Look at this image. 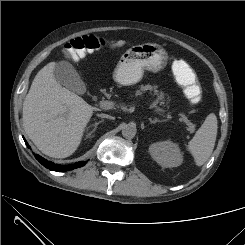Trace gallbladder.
<instances>
[{"instance_id": "gallbladder-1", "label": "gallbladder", "mask_w": 245, "mask_h": 245, "mask_svg": "<svg viewBox=\"0 0 245 245\" xmlns=\"http://www.w3.org/2000/svg\"><path fill=\"white\" fill-rule=\"evenodd\" d=\"M54 77L61 85L77 94L86 92L85 83L72 64L67 61L58 62L53 71Z\"/></svg>"}]
</instances>
